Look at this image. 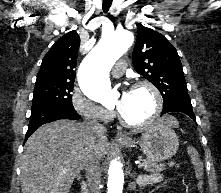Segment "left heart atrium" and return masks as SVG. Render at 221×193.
<instances>
[{"instance_id":"39dd6f15","label":"left heart atrium","mask_w":221,"mask_h":193,"mask_svg":"<svg viewBox=\"0 0 221 193\" xmlns=\"http://www.w3.org/2000/svg\"><path fill=\"white\" fill-rule=\"evenodd\" d=\"M129 95H130V91H128V90H125L122 92L121 99H120V106L121 107L127 102Z\"/></svg>"}]
</instances>
